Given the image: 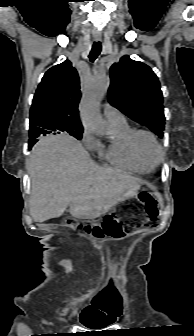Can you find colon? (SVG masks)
<instances>
[{
  "label": "colon",
  "instance_id": "1",
  "mask_svg": "<svg viewBox=\"0 0 194 336\" xmlns=\"http://www.w3.org/2000/svg\"><path fill=\"white\" fill-rule=\"evenodd\" d=\"M144 213L142 217L140 212ZM158 215L156 201L148 192H141L137 198L125 201L115 213L106 215L100 224L85 226V230L96 238L122 239L134 228L150 226ZM70 224V221H66Z\"/></svg>",
  "mask_w": 194,
  "mask_h": 336
}]
</instances>
